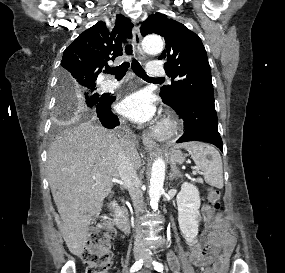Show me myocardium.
Returning a JSON list of instances; mask_svg holds the SVG:
<instances>
[{
  "instance_id": "f54148a6",
  "label": "myocardium",
  "mask_w": 285,
  "mask_h": 273,
  "mask_svg": "<svg viewBox=\"0 0 285 273\" xmlns=\"http://www.w3.org/2000/svg\"><path fill=\"white\" fill-rule=\"evenodd\" d=\"M180 130L178 120L173 115H166L153 127L151 135L157 140H168Z\"/></svg>"
}]
</instances>
